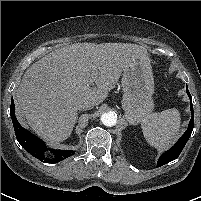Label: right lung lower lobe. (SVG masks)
I'll use <instances>...</instances> for the list:
<instances>
[{
  "instance_id": "1",
  "label": "right lung lower lobe",
  "mask_w": 201,
  "mask_h": 201,
  "mask_svg": "<svg viewBox=\"0 0 201 201\" xmlns=\"http://www.w3.org/2000/svg\"><path fill=\"white\" fill-rule=\"evenodd\" d=\"M10 114L18 142L27 152H29L35 158L44 163H57L74 154V151L71 150L49 149L52 154L47 156L45 152L48 150V148L46 147L45 143L41 139L30 133L28 130L23 128L18 122L15 116V106L13 98L10 106Z\"/></svg>"
}]
</instances>
